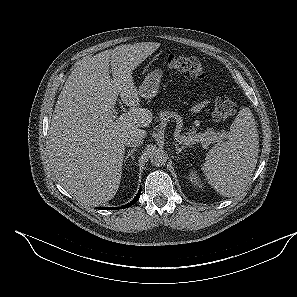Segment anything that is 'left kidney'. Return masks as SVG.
<instances>
[{
  "mask_svg": "<svg viewBox=\"0 0 297 297\" xmlns=\"http://www.w3.org/2000/svg\"><path fill=\"white\" fill-rule=\"evenodd\" d=\"M189 180L196 188H203V184L198 176V174L195 171H191L189 174Z\"/></svg>",
  "mask_w": 297,
  "mask_h": 297,
  "instance_id": "5707ae66",
  "label": "left kidney"
}]
</instances>
